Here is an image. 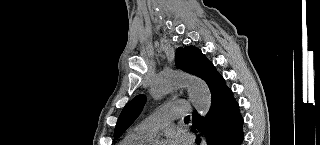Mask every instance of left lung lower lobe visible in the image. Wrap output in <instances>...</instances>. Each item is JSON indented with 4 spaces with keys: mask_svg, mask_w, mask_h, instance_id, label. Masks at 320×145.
I'll return each mask as SVG.
<instances>
[{
    "mask_svg": "<svg viewBox=\"0 0 320 145\" xmlns=\"http://www.w3.org/2000/svg\"><path fill=\"white\" fill-rule=\"evenodd\" d=\"M198 77L209 86L212 103L205 118L200 117L197 111L193 112L192 130L205 133L207 145H240L243 140V118L231 89L211 62L206 64ZM196 141L199 143L200 139L197 137Z\"/></svg>",
    "mask_w": 320,
    "mask_h": 145,
    "instance_id": "1",
    "label": "left lung lower lobe"
}]
</instances>
